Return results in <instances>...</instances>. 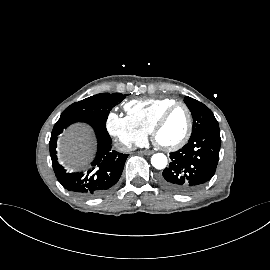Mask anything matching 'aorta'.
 Masks as SVG:
<instances>
[{
    "label": "aorta",
    "mask_w": 270,
    "mask_h": 270,
    "mask_svg": "<svg viewBox=\"0 0 270 270\" xmlns=\"http://www.w3.org/2000/svg\"><path fill=\"white\" fill-rule=\"evenodd\" d=\"M151 164L154 168L161 170L167 166V157L163 153H156L151 157Z\"/></svg>",
    "instance_id": "aorta-1"
}]
</instances>
